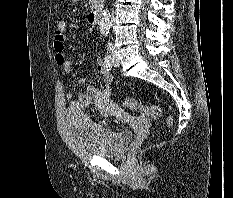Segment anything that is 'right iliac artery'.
Segmentation results:
<instances>
[{
	"mask_svg": "<svg viewBox=\"0 0 233 198\" xmlns=\"http://www.w3.org/2000/svg\"><path fill=\"white\" fill-rule=\"evenodd\" d=\"M112 64H113V58L111 57V55H106L104 60V67L106 68L107 71L111 70Z\"/></svg>",
	"mask_w": 233,
	"mask_h": 198,
	"instance_id": "1",
	"label": "right iliac artery"
}]
</instances>
